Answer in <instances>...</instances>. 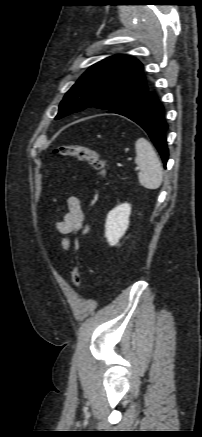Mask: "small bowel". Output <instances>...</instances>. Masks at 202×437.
<instances>
[{
	"mask_svg": "<svg viewBox=\"0 0 202 437\" xmlns=\"http://www.w3.org/2000/svg\"><path fill=\"white\" fill-rule=\"evenodd\" d=\"M67 207L68 210L63 218L55 222L57 231L64 236L61 241V246L64 251H67L70 246L68 236L76 235L79 232L86 233L88 231V226L85 225V215L80 200L75 196L69 197Z\"/></svg>",
	"mask_w": 202,
	"mask_h": 437,
	"instance_id": "c3829d8e",
	"label": "small bowel"
}]
</instances>
